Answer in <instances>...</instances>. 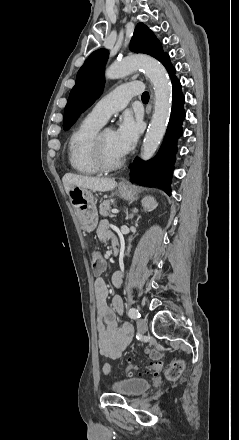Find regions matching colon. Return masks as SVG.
I'll use <instances>...</instances> for the list:
<instances>
[{
	"instance_id": "colon-1",
	"label": "colon",
	"mask_w": 239,
	"mask_h": 440,
	"mask_svg": "<svg viewBox=\"0 0 239 440\" xmlns=\"http://www.w3.org/2000/svg\"><path fill=\"white\" fill-rule=\"evenodd\" d=\"M90 259H91L93 272L95 274H100L103 270V260L101 254L98 251H93L91 253ZM158 357L159 355L157 353H153L154 360H152L149 363V366L147 368L149 371L153 373L158 372L160 369V363L157 361ZM182 369H183V362L181 360H176L172 363L171 367L167 371V376L169 378L174 379L181 373ZM134 370H137V366L130 364L126 369V373L130 374ZM109 371H110L109 365H105L104 372L108 373Z\"/></svg>"
}]
</instances>
